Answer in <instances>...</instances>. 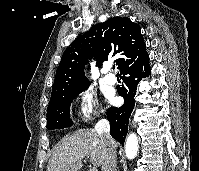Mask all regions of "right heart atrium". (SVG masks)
Segmentation results:
<instances>
[{"instance_id": "d8ad5b80", "label": "right heart atrium", "mask_w": 199, "mask_h": 171, "mask_svg": "<svg viewBox=\"0 0 199 171\" xmlns=\"http://www.w3.org/2000/svg\"><path fill=\"white\" fill-rule=\"evenodd\" d=\"M78 115L84 122L90 121L99 113L97 99L91 92H83L77 100Z\"/></svg>"}]
</instances>
